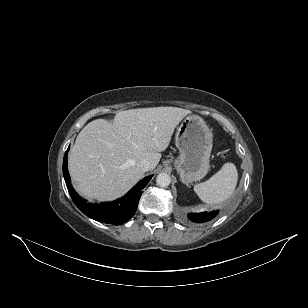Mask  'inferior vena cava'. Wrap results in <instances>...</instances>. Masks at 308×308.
Here are the masks:
<instances>
[{"label":"inferior vena cava","mask_w":308,"mask_h":308,"mask_svg":"<svg viewBox=\"0 0 308 308\" xmlns=\"http://www.w3.org/2000/svg\"><path fill=\"white\" fill-rule=\"evenodd\" d=\"M137 167L143 172H146L151 169V163L147 159H142L137 163Z\"/></svg>","instance_id":"obj_1"}]
</instances>
